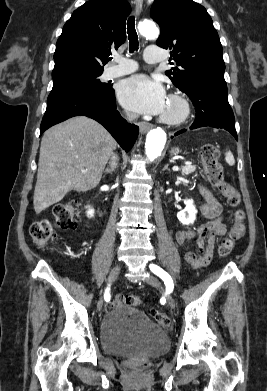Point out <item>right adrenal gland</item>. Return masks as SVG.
<instances>
[{"label": "right adrenal gland", "instance_id": "1", "mask_svg": "<svg viewBox=\"0 0 267 391\" xmlns=\"http://www.w3.org/2000/svg\"><path fill=\"white\" fill-rule=\"evenodd\" d=\"M116 168V164L115 165H112L111 168H107L104 173H112Z\"/></svg>", "mask_w": 267, "mask_h": 391}]
</instances>
